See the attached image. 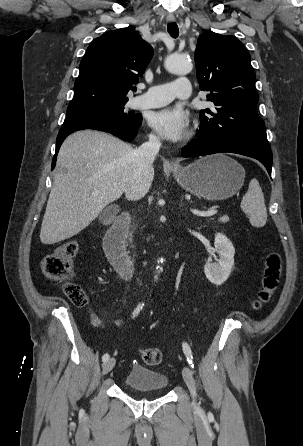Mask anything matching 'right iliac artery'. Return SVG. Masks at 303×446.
<instances>
[{
    "label": "right iliac artery",
    "mask_w": 303,
    "mask_h": 446,
    "mask_svg": "<svg viewBox=\"0 0 303 446\" xmlns=\"http://www.w3.org/2000/svg\"><path fill=\"white\" fill-rule=\"evenodd\" d=\"M143 305L144 304H139L138 306H137V308L133 311V313H132V317L134 318V317H136L137 315H138V313L140 312V310L142 309V307H143ZM109 359V354H104L103 356H102V361L103 362H106L107 360Z\"/></svg>",
    "instance_id": "1"
}]
</instances>
